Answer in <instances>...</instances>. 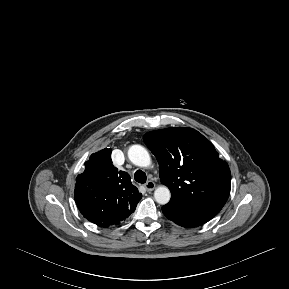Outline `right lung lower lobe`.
Here are the masks:
<instances>
[{
    "label": "right lung lower lobe",
    "mask_w": 289,
    "mask_h": 289,
    "mask_svg": "<svg viewBox=\"0 0 289 289\" xmlns=\"http://www.w3.org/2000/svg\"><path fill=\"white\" fill-rule=\"evenodd\" d=\"M134 210L125 212L124 214L118 216L117 218H115L111 221L95 223V224H97L100 227H104V228L109 227L110 225H118V224H120V221L126 219L132 212H134Z\"/></svg>",
    "instance_id": "98d812e1"
}]
</instances>
